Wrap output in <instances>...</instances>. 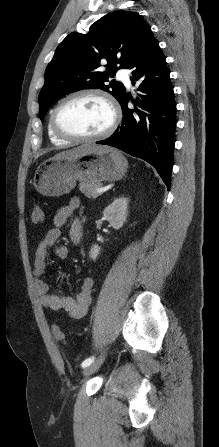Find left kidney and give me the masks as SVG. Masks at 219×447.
Listing matches in <instances>:
<instances>
[{"mask_svg":"<svg viewBox=\"0 0 219 447\" xmlns=\"http://www.w3.org/2000/svg\"><path fill=\"white\" fill-rule=\"evenodd\" d=\"M128 202L129 200L126 197H119L104 209L103 216L114 229H120L126 221ZM100 250L98 245H93L90 249L89 257L92 260H96Z\"/></svg>","mask_w":219,"mask_h":447,"instance_id":"1","label":"left kidney"}]
</instances>
